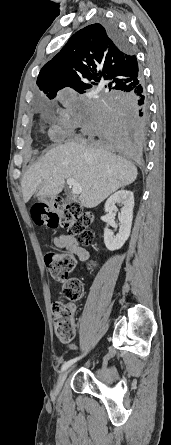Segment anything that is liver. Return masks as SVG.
<instances>
[{
    "mask_svg": "<svg viewBox=\"0 0 171 445\" xmlns=\"http://www.w3.org/2000/svg\"><path fill=\"white\" fill-rule=\"evenodd\" d=\"M68 178L81 186V205L94 208L119 188L133 183L137 168L123 157H112L99 144L69 141L49 150L25 173L21 181L24 202L37 190L40 197L58 195Z\"/></svg>",
    "mask_w": 171,
    "mask_h": 445,
    "instance_id": "1",
    "label": "liver"
}]
</instances>
